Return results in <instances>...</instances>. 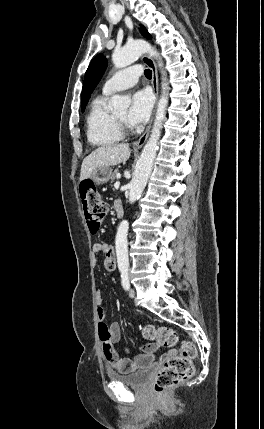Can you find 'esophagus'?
Masks as SVG:
<instances>
[{"label": "esophagus", "instance_id": "34e87169", "mask_svg": "<svg viewBox=\"0 0 264 429\" xmlns=\"http://www.w3.org/2000/svg\"><path fill=\"white\" fill-rule=\"evenodd\" d=\"M142 60L152 71V86H153V91H154L156 101H157L158 100V94H159V84H158V74H157L156 64H155L154 60L148 55H143ZM151 123H152V121H151ZM151 123L149 124L146 131L142 134V136L136 142H134L135 148H140L145 144V142L149 136V133H150Z\"/></svg>", "mask_w": 264, "mask_h": 429}]
</instances>
